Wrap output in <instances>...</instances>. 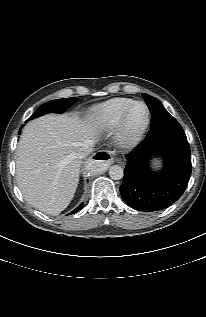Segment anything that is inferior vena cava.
<instances>
[{"label": "inferior vena cava", "mask_w": 206, "mask_h": 317, "mask_svg": "<svg viewBox=\"0 0 206 317\" xmlns=\"http://www.w3.org/2000/svg\"><path fill=\"white\" fill-rule=\"evenodd\" d=\"M93 146H94L93 141H89V142L83 144L82 147H80L78 149V152H77L78 158L82 159V158L88 156L93 151Z\"/></svg>", "instance_id": "602c4592"}]
</instances>
